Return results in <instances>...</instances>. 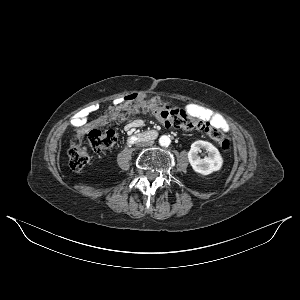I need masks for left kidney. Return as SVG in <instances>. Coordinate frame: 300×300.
I'll use <instances>...</instances> for the list:
<instances>
[{
  "label": "left kidney",
  "mask_w": 300,
  "mask_h": 300,
  "mask_svg": "<svg viewBox=\"0 0 300 300\" xmlns=\"http://www.w3.org/2000/svg\"><path fill=\"white\" fill-rule=\"evenodd\" d=\"M201 149H205L208 154L203 159L198 155ZM188 160L193 170L202 175H209L220 170L223 164V159L218 149L211 143L203 140L192 143L191 149L188 152Z\"/></svg>",
  "instance_id": "obj_1"
}]
</instances>
